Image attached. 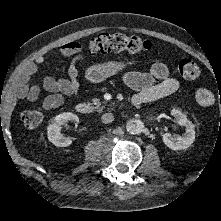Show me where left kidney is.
<instances>
[{"label": "left kidney", "mask_w": 221, "mask_h": 221, "mask_svg": "<svg viewBox=\"0 0 221 221\" xmlns=\"http://www.w3.org/2000/svg\"><path fill=\"white\" fill-rule=\"evenodd\" d=\"M171 115L176 119L179 125L186 128V132L182 136H173L170 133H165L162 137L163 142L172 150L187 149L195 141L194 125L180 110L173 109Z\"/></svg>", "instance_id": "left-kidney-1"}]
</instances>
